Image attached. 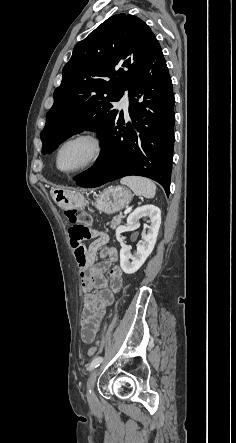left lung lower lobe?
<instances>
[{"label": "left lung lower lobe", "mask_w": 236, "mask_h": 443, "mask_svg": "<svg viewBox=\"0 0 236 443\" xmlns=\"http://www.w3.org/2000/svg\"><path fill=\"white\" fill-rule=\"evenodd\" d=\"M132 123L124 125L123 111L100 136L102 153L91 169L79 174L77 185L101 186L124 176L137 175L160 183L170 191L174 145L172 81L157 43L128 89Z\"/></svg>", "instance_id": "1"}]
</instances>
